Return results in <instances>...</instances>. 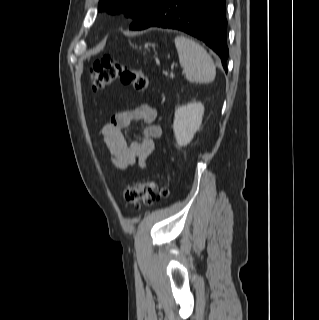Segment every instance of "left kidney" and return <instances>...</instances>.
<instances>
[{
  "instance_id": "1",
  "label": "left kidney",
  "mask_w": 319,
  "mask_h": 320,
  "mask_svg": "<svg viewBox=\"0 0 319 320\" xmlns=\"http://www.w3.org/2000/svg\"><path fill=\"white\" fill-rule=\"evenodd\" d=\"M204 106L200 102L188 103L175 110L173 131L179 146L188 145L200 129Z\"/></svg>"
}]
</instances>
